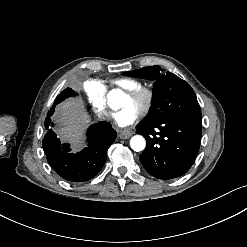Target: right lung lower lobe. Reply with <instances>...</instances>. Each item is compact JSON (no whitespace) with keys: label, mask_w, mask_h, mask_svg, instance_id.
I'll return each instance as SVG.
<instances>
[{"label":"right lung lower lobe","mask_w":247,"mask_h":247,"mask_svg":"<svg viewBox=\"0 0 247 247\" xmlns=\"http://www.w3.org/2000/svg\"><path fill=\"white\" fill-rule=\"evenodd\" d=\"M74 94L72 89L66 88L56 97L48 111L43 149L49 165L59 176L67 181L84 182L95 177L102 169L107 158V150L115 141L117 133L108 122L95 123L87 131L88 146L76 154L69 153L71 151L69 146L61 143L53 131L50 117L57 104Z\"/></svg>","instance_id":"98d812e1"}]
</instances>
